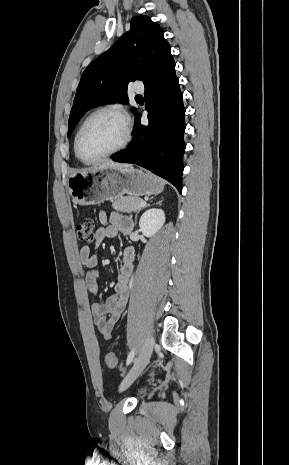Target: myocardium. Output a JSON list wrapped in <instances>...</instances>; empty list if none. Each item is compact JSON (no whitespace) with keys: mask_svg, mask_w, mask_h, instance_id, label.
Wrapping results in <instances>:
<instances>
[{"mask_svg":"<svg viewBox=\"0 0 289 465\" xmlns=\"http://www.w3.org/2000/svg\"><path fill=\"white\" fill-rule=\"evenodd\" d=\"M100 114H110V115H114V116H117L119 117L123 123H124V126H125V135H124V139L123 141L121 142V144L119 146H117L116 148H114L113 150H110L104 154H102L101 156L99 157H96L94 159H86L84 158L82 155H81V152H80V141H81V136H82V133H83V130L85 128V126L87 125V123L95 116L97 115H100ZM131 141V124H130V120L129 118L127 117V115L119 108H116V107H111V106H104V107H99L97 109H95L94 111H92L84 120L83 122L81 123L77 133H76V136H75V141H74V150H75V154L76 156L79 158V160H81L83 163H86V164H93V163H96V162H99L100 160L104 159V158H107V157H110L122 150H124L129 142Z\"/></svg>","mask_w":289,"mask_h":465,"instance_id":"1","label":"myocardium"}]
</instances>
